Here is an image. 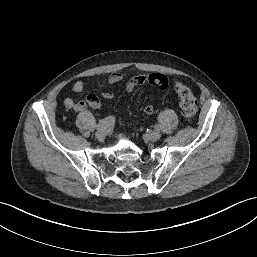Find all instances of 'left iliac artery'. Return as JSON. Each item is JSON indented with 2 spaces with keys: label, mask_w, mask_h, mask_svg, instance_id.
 Here are the masks:
<instances>
[{
  "label": "left iliac artery",
  "mask_w": 257,
  "mask_h": 257,
  "mask_svg": "<svg viewBox=\"0 0 257 257\" xmlns=\"http://www.w3.org/2000/svg\"><path fill=\"white\" fill-rule=\"evenodd\" d=\"M156 130H158L159 129V126L158 125H155V127H154Z\"/></svg>",
  "instance_id": "obj_1"
}]
</instances>
